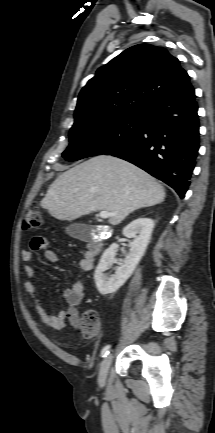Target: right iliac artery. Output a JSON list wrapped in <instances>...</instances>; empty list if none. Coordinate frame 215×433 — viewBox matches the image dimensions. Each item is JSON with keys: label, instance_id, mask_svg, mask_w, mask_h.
<instances>
[{"label": "right iliac artery", "instance_id": "82829eb1", "mask_svg": "<svg viewBox=\"0 0 215 433\" xmlns=\"http://www.w3.org/2000/svg\"><path fill=\"white\" fill-rule=\"evenodd\" d=\"M110 348V345H106L101 351V356L106 357L109 354Z\"/></svg>", "mask_w": 215, "mask_h": 433}]
</instances>
